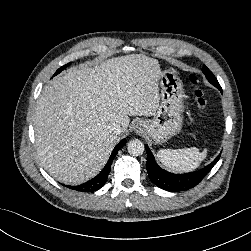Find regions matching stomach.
Returning a JSON list of instances; mask_svg holds the SVG:
<instances>
[{"label":"stomach","instance_id":"obj_1","mask_svg":"<svg viewBox=\"0 0 251 251\" xmlns=\"http://www.w3.org/2000/svg\"><path fill=\"white\" fill-rule=\"evenodd\" d=\"M160 104L152 119L140 120L142 131L155 143L167 142L178 134L183 124V84L175 71L166 70L159 77Z\"/></svg>","mask_w":251,"mask_h":251}]
</instances>
